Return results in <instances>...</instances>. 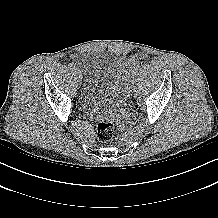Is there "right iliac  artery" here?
Wrapping results in <instances>:
<instances>
[{"label": "right iliac artery", "instance_id": "82829eb1", "mask_svg": "<svg viewBox=\"0 0 218 218\" xmlns=\"http://www.w3.org/2000/svg\"><path fill=\"white\" fill-rule=\"evenodd\" d=\"M68 67H69L71 70H75V67L73 66L72 63H70V64L68 65Z\"/></svg>", "mask_w": 218, "mask_h": 218}]
</instances>
